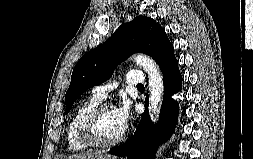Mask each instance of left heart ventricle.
I'll list each match as a JSON object with an SVG mask.
<instances>
[{
	"label": "left heart ventricle",
	"mask_w": 253,
	"mask_h": 159,
	"mask_svg": "<svg viewBox=\"0 0 253 159\" xmlns=\"http://www.w3.org/2000/svg\"><path fill=\"white\" fill-rule=\"evenodd\" d=\"M123 131L115 108H108L101 113L96 124V132L100 140H113L120 136Z\"/></svg>",
	"instance_id": "obj_1"
}]
</instances>
